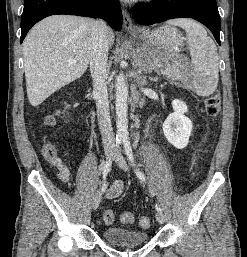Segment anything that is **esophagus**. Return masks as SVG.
<instances>
[{
  "label": "esophagus",
  "mask_w": 247,
  "mask_h": 257,
  "mask_svg": "<svg viewBox=\"0 0 247 257\" xmlns=\"http://www.w3.org/2000/svg\"><path fill=\"white\" fill-rule=\"evenodd\" d=\"M123 28L126 32L137 31V27L133 24L131 16L126 9H123Z\"/></svg>",
  "instance_id": "1"
}]
</instances>
